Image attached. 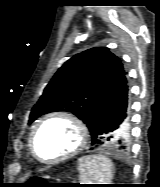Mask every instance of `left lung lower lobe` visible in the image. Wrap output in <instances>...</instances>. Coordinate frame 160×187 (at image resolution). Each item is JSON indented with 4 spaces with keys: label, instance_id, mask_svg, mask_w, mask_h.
Wrapping results in <instances>:
<instances>
[{
    "label": "left lung lower lobe",
    "instance_id": "obj_1",
    "mask_svg": "<svg viewBox=\"0 0 160 187\" xmlns=\"http://www.w3.org/2000/svg\"><path fill=\"white\" fill-rule=\"evenodd\" d=\"M128 86L125 85L112 96L101 108L93 128L90 130L92 144L96 147L125 150L123 142L129 129L128 121ZM125 125L122 135L114 137L116 131ZM128 149V148H127Z\"/></svg>",
    "mask_w": 160,
    "mask_h": 187
}]
</instances>
